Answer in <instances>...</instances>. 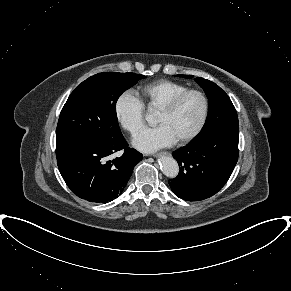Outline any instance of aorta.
<instances>
[{
  "label": "aorta",
  "instance_id": "1",
  "mask_svg": "<svg viewBox=\"0 0 291 291\" xmlns=\"http://www.w3.org/2000/svg\"><path fill=\"white\" fill-rule=\"evenodd\" d=\"M150 116H147L149 120ZM160 168L163 174L169 178H175L179 173V166L177 161L169 156H162L159 160Z\"/></svg>",
  "mask_w": 291,
  "mask_h": 291
}]
</instances>
